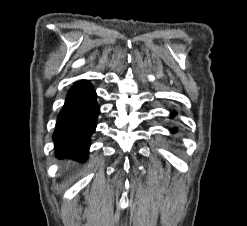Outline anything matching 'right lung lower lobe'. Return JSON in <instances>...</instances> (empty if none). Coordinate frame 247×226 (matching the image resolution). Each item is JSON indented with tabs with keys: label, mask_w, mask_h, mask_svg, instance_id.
<instances>
[{
	"label": "right lung lower lobe",
	"mask_w": 247,
	"mask_h": 226,
	"mask_svg": "<svg viewBox=\"0 0 247 226\" xmlns=\"http://www.w3.org/2000/svg\"><path fill=\"white\" fill-rule=\"evenodd\" d=\"M98 113L99 106L92 86L84 80L76 82L57 117L53 134L57 156L80 160L87 157Z\"/></svg>",
	"instance_id": "98d812e1"
}]
</instances>
